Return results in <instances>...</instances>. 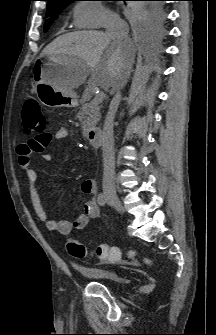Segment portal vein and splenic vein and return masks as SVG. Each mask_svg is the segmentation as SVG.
<instances>
[{
  "label": "portal vein and splenic vein",
  "mask_w": 216,
  "mask_h": 335,
  "mask_svg": "<svg viewBox=\"0 0 216 335\" xmlns=\"http://www.w3.org/2000/svg\"><path fill=\"white\" fill-rule=\"evenodd\" d=\"M104 98H105V93H104V92H100V93H98V94L94 97L92 103H93L94 105L99 104V103H101V102L104 100Z\"/></svg>",
  "instance_id": "1"
}]
</instances>
